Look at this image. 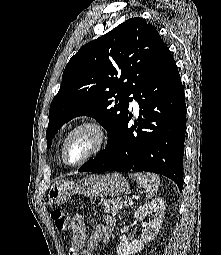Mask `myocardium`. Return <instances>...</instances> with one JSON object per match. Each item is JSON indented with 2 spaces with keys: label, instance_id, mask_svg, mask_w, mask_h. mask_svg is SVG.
Masks as SVG:
<instances>
[{
  "label": "myocardium",
  "instance_id": "myocardium-1",
  "mask_svg": "<svg viewBox=\"0 0 221 255\" xmlns=\"http://www.w3.org/2000/svg\"><path fill=\"white\" fill-rule=\"evenodd\" d=\"M82 130H91L95 134L94 147L80 161L75 162V163H70L67 161L66 155H65L67 144L74 134H76L77 132H80ZM106 139H107L106 128H105L104 124L101 123L100 121L95 120V119H90V120H86V121L78 124L64 138L62 148H61V158H62L63 163L68 166H71V167H77V166L83 165L85 162H87L88 160H90L91 158L96 156L102 150V148L105 145Z\"/></svg>",
  "mask_w": 221,
  "mask_h": 255
}]
</instances>
